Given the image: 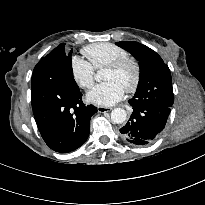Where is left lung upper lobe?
Returning a JSON list of instances; mask_svg holds the SVG:
<instances>
[{
    "instance_id": "1",
    "label": "left lung upper lobe",
    "mask_w": 205,
    "mask_h": 205,
    "mask_svg": "<svg viewBox=\"0 0 205 205\" xmlns=\"http://www.w3.org/2000/svg\"><path fill=\"white\" fill-rule=\"evenodd\" d=\"M139 61L140 78L131 101L136 105L165 106L173 104V89L169 67L149 47L135 41L116 42Z\"/></svg>"
}]
</instances>
